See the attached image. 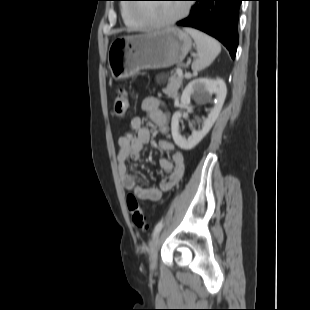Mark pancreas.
<instances>
[{"instance_id": "obj_1", "label": "pancreas", "mask_w": 310, "mask_h": 310, "mask_svg": "<svg viewBox=\"0 0 310 310\" xmlns=\"http://www.w3.org/2000/svg\"><path fill=\"white\" fill-rule=\"evenodd\" d=\"M183 75L179 76L177 71L171 72V77L168 80V85L163 89V93L168 95L170 98H176L178 90L182 84Z\"/></svg>"}]
</instances>
